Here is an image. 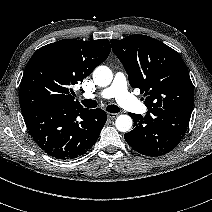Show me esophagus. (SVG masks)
<instances>
[{
	"label": "esophagus",
	"mask_w": 212,
	"mask_h": 212,
	"mask_svg": "<svg viewBox=\"0 0 212 212\" xmlns=\"http://www.w3.org/2000/svg\"><path fill=\"white\" fill-rule=\"evenodd\" d=\"M107 116L110 119H114L115 117H117V114L116 113H108Z\"/></svg>",
	"instance_id": "1"
}]
</instances>
